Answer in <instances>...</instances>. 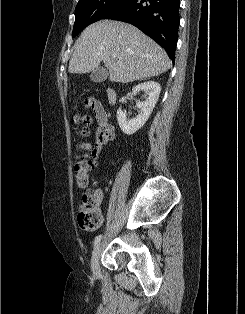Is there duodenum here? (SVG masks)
Instances as JSON below:
<instances>
[{
	"label": "duodenum",
	"instance_id": "duodenum-1",
	"mask_svg": "<svg viewBox=\"0 0 245 314\" xmlns=\"http://www.w3.org/2000/svg\"><path fill=\"white\" fill-rule=\"evenodd\" d=\"M107 100L110 104H114L116 102V98H117V93L113 88H109L107 90Z\"/></svg>",
	"mask_w": 245,
	"mask_h": 314
}]
</instances>
